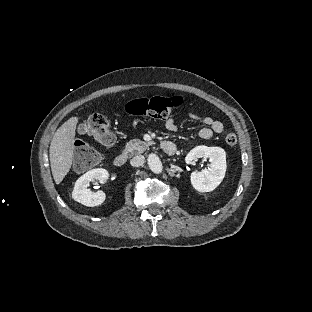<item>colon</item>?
Returning a JSON list of instances; mask_svg holds the SVG:
<instances>
[{
  "label": "colon",
  "instance_id": "5ec220e1",
  "mask_svg": "<svg viewBox=\"0 0 312 312\" xmlns=\"http://www.w3.org/2000/svg\"><path fill=\"white\" fill-rule=\"evenodd\" d=\"M181 103L178 95L171 97H143L130 101L127 105L128 113L139 116H149L154 120L165 119L172 109L177 108ZM84 130L86 134L93 136L104 145H110L115 135L108 118L102 113H92L85 124ZM225 144L232 148L237 144V137L233 133L225 135ZM76 157L91 166L99 161L100 155L97 151L81 149L77 150Z\"/></svg>",
  "mask_w": 312,
  "mask_h": 312
}]
</instances>
